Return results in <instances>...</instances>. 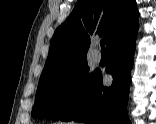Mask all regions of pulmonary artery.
Masks as SVG:
<instances>
[{
	"label": "pulmonary artery",
	"mask_w": 156,
	"mask_h": 124,
	"mask_svg": "<svg viewBox=\"0 0 156 124\" xmlns=\"http://www.w3.org/2000/svg\"><path fill=\"white\" fill-rule=\"evenodd\" d=\"M101 58H102L101 53L98 50H95L93 52V59H94V61L95 62H100L101 61Z\"/></svg>",
	"instance_id": "obj_1"
}]
</instances>
